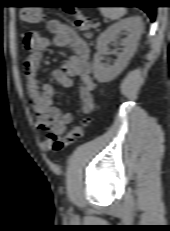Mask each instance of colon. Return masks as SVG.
Returning <instances> with one entry per match:
<instances>
[{
  "instance_id": "1",
  "label": "colon",
  "mask_w": 170,
  "mask_h": 231,
  "mask_svg": "<svg viewBox=\"0 0 170 231\" xmlns=\"http://www.w3.org/2000/svg\"><path fill=\"white\" fill-rule=\"evenodd\" d=\"M20 17L23 21L29 23H37L44 19L43 12L38 8H24L20 13ZM74 26L77 30L89 36L93 24L91 20L82 13L75 12ZM88 122V119H84L80 123L73 126L72 129L62 137L56 135L55 133H49L43 141L44 149L52 153L61 152L65 147L82 136L84 128L87 126Z\"/></svg>"
}]
</instances>
